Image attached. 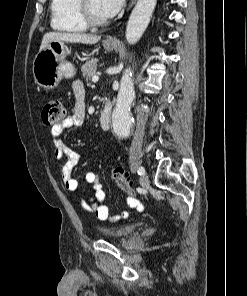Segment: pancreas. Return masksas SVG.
Here are the masks:
<instances>
[{
    "mask_svg": "<svg viewBox=\"0 0 247 296\" xmlns=\"http://www.w3.org/2000/svg\"><path fill=\"white\" fill-rule=\"evenodd\" d=\"M96 67H97V60L93 59L87 61L85 64L81 66V71L83 73V77L86 80H90L94 75H96Z\"/></svg>",
    "mask_w": 247,
    "mask_h": 296,
    "instance_id": "cf45deb5",
    "label": "pancreas"
}]
</instances>
